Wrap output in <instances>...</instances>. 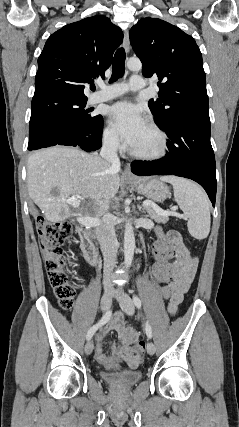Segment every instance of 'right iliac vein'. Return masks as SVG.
<instances>
[{"instance_id": "63e3f726", "label": "right iliac vein", "mask_w": 239, "mask_h": 427, "mask_svg": "<svg viewBox=\"0 0 239 427\" xmlns=\"http://www.w3.org/2000/svg\"><path fill=\"white\" fill-rule=\"evenodd\" d=\"M112 296H113V291H107L104 293L101 299V310L103 312L107 311L110 308L112 303ZM93 348H94L93 342L89 340L85 345V353L87 355H90L93 351Z\"/></svg>"}]
</instances>
